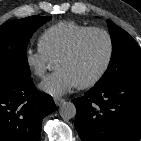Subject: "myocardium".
Here are the masks:
<instances>
[{
  "label": "myocardium",
  "mask_w": 141,
  "mask_h": 141,
  "mask_svg": "<svg viewBox=\"0 0 141 141\" xmlns=\"http://www.w3.org/2000/svg\"><path fill=\"white\" fill-rule=\"evenodd\" d=\"M92 33H100L105 36L108 43V53L105 62L100 68V70L89 80L77 84V86L82 89L90 88L98 84L103 79V77L106 75L107 71L110 68L114 56V41L110 32L104 28L90 27L83 31L82 33H80L58 58L59 61L61 59H65L74 55L76 51L79 49L84 39Z\"/></svg>",
  "instance_id": "f54148a6"
}]
</instances>
